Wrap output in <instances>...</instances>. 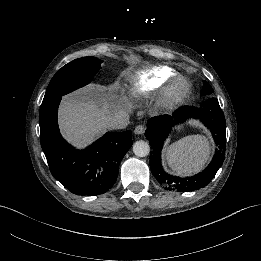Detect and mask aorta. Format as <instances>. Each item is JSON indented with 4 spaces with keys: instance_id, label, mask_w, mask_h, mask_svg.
I'll return each mask as SVG.
<instances>
[{
    "instance_id": "aorta-1",
    "label": "aorta",
    "mask_w": 261,
    "mask_h": 261,
    "mask_svg": "<svg viewBox=\"0 0 261 261\" xmlns=\"http://www.w3.org/2000/svg\"><path fill=\"white\" fill-rule=\"evenodd\" d=\"M133 152L138 157H145L150 152V146L144 140L136 141L133 144Z\"/></svg>"
}]
</instances>
